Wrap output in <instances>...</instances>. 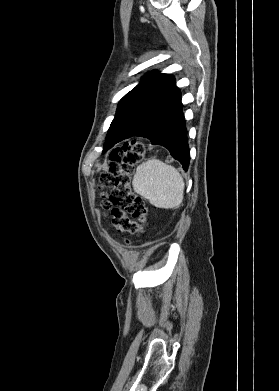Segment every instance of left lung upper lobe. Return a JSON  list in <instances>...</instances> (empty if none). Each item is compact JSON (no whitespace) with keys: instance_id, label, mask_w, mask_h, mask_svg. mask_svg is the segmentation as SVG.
Instances as JSON below:
<instances>
[{"instance_id":"5c2ea615","label":"left lung upper lobe","mask_w":279,"mask_h":391,"mask_svg":"<svg viewBox=\"0 0 279 391\" xmlns=\"http://www.w3.org/2000/svg\"><path fill=\"white\" fill-rule=\"evenodd\" d=\"M180 99L181 93L172 75L148 73L120 100L103 152L149 126Z\"/></svg>"}]
</instances>
